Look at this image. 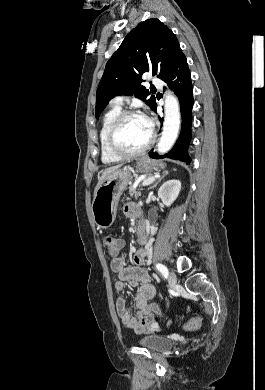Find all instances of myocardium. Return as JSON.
Instances as JSON below:
<instances>
[{
    "instance_id": "myocardium-1",
    "label": "myocardium",
    "mask_w": 265,
    "mask_h": 390,
    "mask_svg": "<svg viewBox=\"0 0 265 390\" xmlns=\"http://www.w3.org/2000/svg\"><path fill=\"white\" fill-rule=\"evenodd\" d=\"M130 117H141V116L137 112L132 111V110L121 111L118 114V116L116 117V119L114 120V122L112 123V125L109 129V132H108V136H107L108 146H109L110 150L115 155H117L121 158H132V157L142 155L150 148V146L152 145V143L154 141V133L152 131H150V136H149L148 141L140 149L135 150V151H128V150H125L124 148H122L119 145L118 139H117L118 131H119L121 125L123 124V122L127 118H130Z\"/></svg>"
}]
</instances>
